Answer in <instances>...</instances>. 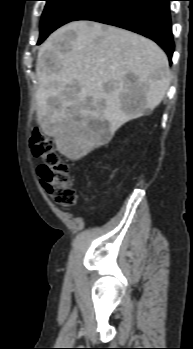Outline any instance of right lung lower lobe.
<instances>
[{
	"mask_svg": "<svg viewBox=\"0 0 193 349\" xmlns=\"http://www.w3.org/2000/svg\"><path fill=\"white\" fill-rule=\"evenodd\" d=\"M169 1L171 0H97L73 21H96L148 37L164 49L171 64L174 42Z\"/></svg>",
	"mask_w": 193,
	"mask_h": 349,
	"instance_id": "98d812e1",
	"label": "right lung lower lobe"
}]
</instances>
